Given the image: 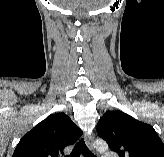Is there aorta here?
I'll return each instance as SVG.
<instances>
[{
	"label": "aorta",
	"instance_id": "aorta-1",
	"mask_svg": "<svg viewBox=\"0 0 164 157\" xmlns=\"http://www.w3.org/2000/svg\"><path fill=\"white\" fill-rule=\"evenodd\" d=\"M94 147L100 153H104L108 150V144L104 140H96L94 143Z\"/></svg>",
	"mask_w": 164,
	"mask_h": 157
}]
</instances>
